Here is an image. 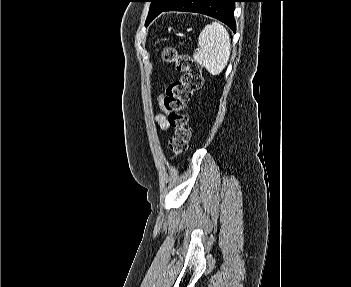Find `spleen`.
Returning <instances> with one entry per match:
<instances>
[{
  "instance_id": "obj_1",
  "label": "spleen",
  "mask_w": 351,
  "mask_h": 287,
  "mask_svg": "<svg viewBox=\"0 0 351 287\" xmlns=\"http://www.w3.org/2000/svg\"><path fill=\"white\" fill-rule=\"evenodd\" d=\"M230 37L228 31L218 22L206 25L198 38V48L193 54L194 61L210 74L219 75L230 57Z\"/></svg>"
}]
</instances>
